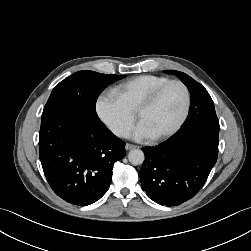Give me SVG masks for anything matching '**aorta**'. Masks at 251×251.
Returning <instances> with one entry per match:
<instances>
[{
  "instance_id": "obj_1",
  "label": "aorta",
  "mask_w": 251,
  "mask_h": 251,
  "mask_svg": "<svg viewBox=\"0 0 251 251\" xmlns=\"http://www.w3.org/2000/svg\"><path fill=\"white\" fill-rule=\"evenodd\" d=\"M129 162L133 165H140L144 162L145 156L142 150L133 149L128 154Z\"/></svg>"
}]
</instances>
